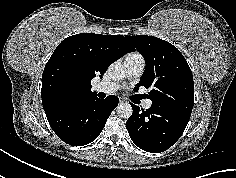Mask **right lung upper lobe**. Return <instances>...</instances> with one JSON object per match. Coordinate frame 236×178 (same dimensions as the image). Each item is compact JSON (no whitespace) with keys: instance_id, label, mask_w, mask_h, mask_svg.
Listing matches in <instances>:
<instances>
[{"instance_id":"right-lung-upper-lobe-1","label":"right lung upper lobe","mask_w":236,"mask_h":178,"mask_svg":"<svg viewBox=\"0 0 236 178\" xmlns=\"http://www.w3.org/2000/svg\"><path fill=\"white\" fill-rule=\"evenodd\" d=\"M134 51L127 36L82 33L64 39L48 60L42 75L45 113L78 103L93 95L91 80Z\"/></svg>"}]
</instances>
